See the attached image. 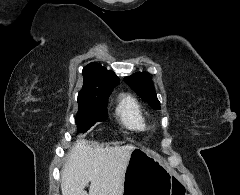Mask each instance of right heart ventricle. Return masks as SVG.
I'll use <instances>...</instances> for the list:
<instances>
[{"label":"right heart ventricle","instance_id":"e07e8e85","mask_svg":"<svg viewBox=\"0 0 240 195\" xmlns=\"http://www.w3.org/2000/svg\"><path fill=\"white\" fill-rule=\"evenodd\" d=\"M116 115L127 128L143 130L146 127L144 111L138 100L132 96H125L120 100L116 107Z\"/></svg>","mask_w":240,"mask_h":195}]
</instances>
